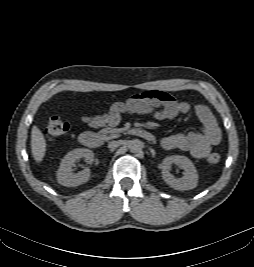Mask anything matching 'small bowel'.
<instances>
[{
	"mask_svg": "<svg viewBox=\"0 0 254 267\" xmlns=\"http://www.w3.org/2000/svg\"><path fill=\"white\" fill-rule=\"evenodd\" d=\"M191 106L163 91H146L133 95L125 101L115 102L103 115H89L84 121L92 128L114 127L123 113L152 114L157 120H169L189 112ZM194 113L202 123L195 132L177 133L165 137L161 145L165 150H182L197 159L206 157L213 146L221 140V131L210 109L197 104Z\"/></svg>",
	"mask_w": 254,
	"mask_h": 267,
	"instance_id": "c3829d8e",
	"label": "small bowel"
}]
</instances>
